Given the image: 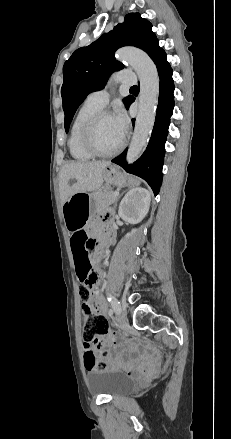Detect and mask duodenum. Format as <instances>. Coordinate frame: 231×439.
Returning <instances> with one entry per match:
<instances>
[{"label":"duodenum","instance_id":"410a0bca","mask_svg":"<svg viewBox=\"0 0 231 439\" xmlns=\"http://www.w3.org/2000/svg\"><path fill=\"white\" fill-rule=\"evenodd\" d=\"M106 241H108V238L106 237V236H104L103 238H101V242L103 243V242H106ZM93 258H94V260H96V258H97V254H95L94 256H93Z\"/></svg>","mask_w":231,"mask_h":439}]
</instances>
